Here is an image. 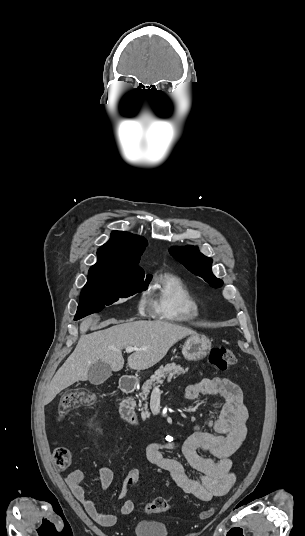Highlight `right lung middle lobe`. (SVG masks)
Instances as JSON below:
<instances>
[{
  "mask_svg": "<svg viewBox=\"0 0 305 536\" xmlns=\"http://www.w3.org/2000/svg\"><path fill=\"white\" fill-rule=\"evenodd\" d=\"M151 277L146 279L104 280L89 279L80 295L76 318L81 319L89 314L100 312L105 306L111 305L120 298H127L146 290Z\"/></svg>",
  "mask_w": 305,
  "mask_h": 536,
  "instance_id": "right-lung-middle-lobe-1",
  "label": "right lung middle lobe"
}]
</instances>
